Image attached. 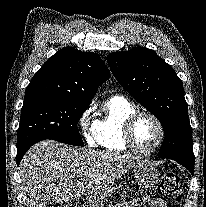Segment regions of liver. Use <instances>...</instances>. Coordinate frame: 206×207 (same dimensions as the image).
I'll use <instances>...</instances> for the list:
<instances>
[{"mask_svg": "<svg viewBox=\"0 0 206 207\" xmlns=\"http://www.w3.org/2000/svg\"><path fill=\"white\" fill-rule=\"evenodd\" d=\"M136 162L129 155L41 141L20 163L27 207H47L50 201L63 203L79 197H86L90 207H102L108 189Z\"/></svg>", "mask_w": 206, "mask_h": 207, "instance_id": "6515ba94", "label": "liver"}]
</instances>
